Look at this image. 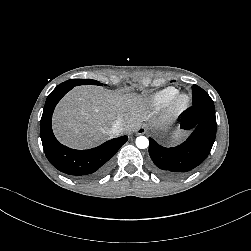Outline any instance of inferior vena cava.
<instances>
[{
	"label": "inferior vena cava",
	"mask_w": 251,
	"mask_h": 251,
	"mask_svg": "<svg viewBox=\"0 0 251 251\" xmlns=\"http://www.w3.org/2000/svg\"><path fill=\"white\" fill-rule=\"evenodd\" d=\"M124 130V125L120 121H116L111 129L109 130V133L111 135H118L119 133L123 132Z\"/></svg>",
	"instance_id": "inferior-vena-cava-1"
}]
</instances>
